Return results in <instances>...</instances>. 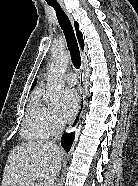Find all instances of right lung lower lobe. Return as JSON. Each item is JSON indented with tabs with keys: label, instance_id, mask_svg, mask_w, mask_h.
Masks as SVG:
<instances>
[{
	"label": "right lung lower lobe",
	"instance_id": "1",
	"mask_svg": "<svg viewBox=\"0 0 138 186\" xmlns=\"http://www.w3.org/2000/svg\"><path fill=\"white\" fill-rule=\"evenodd\" d=\"M73 140H74V133H67L63 135L61 139V145L64 147V149L67 152L70 150Z\"/></svg>",
	"mask_w": 138,
	"mask_h": 186
}]
</instances>
